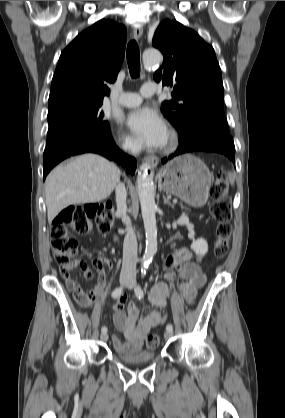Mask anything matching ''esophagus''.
<instances>
[{
  "label": "esophagus",
  "mask_w": 285,
  "mask_h": 418,
  "mask_svg": "<svg viewBox=\"0 0 285 418\" xmlns=\"http://www.w3.org/2000/svg\"><path fill=\"white\" fill-rule=\"evenodd\" d=\"M142 34H143V29L140 26H135L133 28V35H134V38L136 40H139L141 38ZM149 162H150V164H151L152 167H156L157 164L159 163V159L156 156H152L149 159Z\"/></svg>",
  "instance_id": "esophagus-1"
}]
</instances>
